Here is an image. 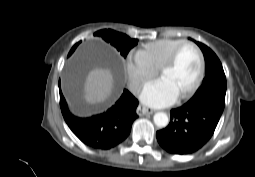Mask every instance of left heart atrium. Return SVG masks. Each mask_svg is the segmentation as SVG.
Wrapping results in <instances>:
<instances>
[{"instance_id": "39dd6f15", "label": "left heart atrium", "mask_w": 255, "mask_h": 177, "mask_svg": "<svg viewBox=\"0 0 255 177\" xmlns=\"http://www.w3.org/2000/svg\"><path fill=\"white\" fill-rule=\"evenodd\" d=\"M180 96L176 88L165 78L149 82L140 93L143 104L153 108H163L173 104Z\"/></svg>"}]
</instances>
